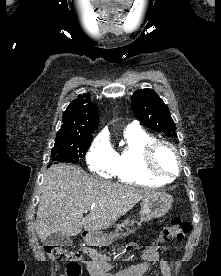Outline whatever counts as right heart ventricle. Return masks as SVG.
Segmentation results:
<instances>
[{"mask_svg": "<svg viewBox=\"0 0 221 276\" xmlns=\"http://www.w3.org/2000/svg\"><path fill=\"white\" fill-rule=\"evenodd\" d=\"M123 145L115 152L113 175L122 183L134 185H160L168 180L149 175L143 165V148L154 137L147 131L129 126L124 131Z\"/></svg>", "mask_w": 221, "mask_h": 276, "instance_id": "1", "label": "right heart ventricle"}]
</instances>
